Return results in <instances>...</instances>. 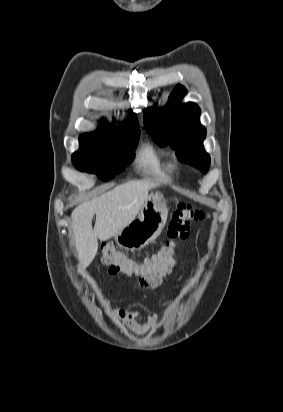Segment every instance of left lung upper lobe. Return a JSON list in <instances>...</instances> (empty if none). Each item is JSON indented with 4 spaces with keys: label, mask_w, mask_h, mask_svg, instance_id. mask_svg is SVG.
<instances>
[{
    "label": "left lung upper lobe",
    "mask_w": 283,
    "mask_h": 412,
    "mask_svg": "<svg viewBox=\"0 0 283 412\" xmlns=\"http://www.w3.org/2000/svg\"><path fill=\"white\" fill-rule=\"evenodd\" d=\"M185 93V88L178 85L163 108L146 109L144 127L161 147L170 144L179 160L206 173L210 156L203 148L206 129L199 122L200 108L191 102L175 104Z\"/></svg>",
    "instance_id": "1"
}]
</instances>
